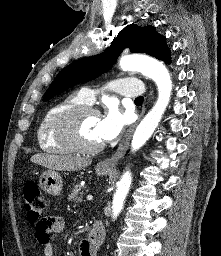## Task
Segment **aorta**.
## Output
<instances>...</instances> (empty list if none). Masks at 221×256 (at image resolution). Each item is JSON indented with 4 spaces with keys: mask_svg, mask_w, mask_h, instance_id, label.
I'll return each mask as SVG.
<instances>
[{
    "mask_svg": "<svg viewBox=\"0 0 221 256\" xmlns=\"http://www.w3.org/2000/svg\"><path fill=\"white\" fill-rule=\"evenodd\" d=\"M119 65L123 71H140L145 76L151 78L158 88V99L155 105L142 119L134 132L131 148L132 151H136L146 143L158 126L170 101L172 81L166 67L156 60H143L133 56H127L120 60ZM131 182L132 175L130 171H126L122 175L113 197L112 210L114 219L117 218L123 208Z\"/></svg>",
    "mask_w": 221,
    "mask_h": 256,
    "instance_id": "obj_1",
    "label": "aorta"
}]
</instances>
